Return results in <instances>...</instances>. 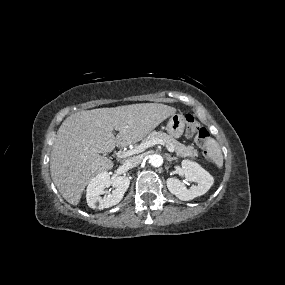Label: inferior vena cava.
I'll return each instance as SVG.
<instances>
[{"label": "inferior vena cava", "mask_w": 285, "mask_h": 285, "mask_svg": "<svg viewBox=\"0 0 285 285\" xmlns=\"http://www.w3.org/2000/svg\"><path fill=\"white\" fill-rule=\"evenodd\" d=\"M140 163H141V158L139 156H134V157L128 159L126 161L125 165L128 168H133V167L138 166Z\"/></svg>", "instance_id": "1"}]
</instances>
